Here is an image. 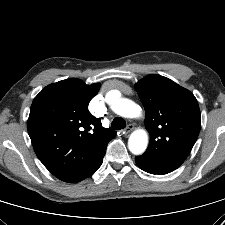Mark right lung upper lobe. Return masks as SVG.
Wrapping results in <instances>:
<instances>
[{
    "label": "right lung upper lobe",
    "instance_id": "1",
    "mask_svg": "<svg viewBox=\"0 0 225 225\" xmlns=\"http://www.w3.org/2000/svg\"><path fill=\"white\" fill-rule=\"evenodd\" d=\"M100 84L70 78L46 86L34 99L27 122L39 160L58 179L77 181L97 163L101 149L115 137L88 111Z\"/></svg>",
    "mask_w": 225,
    "mask_h": 225
}]
</instances>
